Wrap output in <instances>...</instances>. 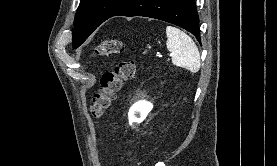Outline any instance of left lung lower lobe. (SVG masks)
I'll return each instance as SVG.
<instances>
[{"instance_id": "0a47b994", "label": "left lung lower lobe", "mask_w": 277, "mask_h": 166, "mask_svg": "<svg viewBox=\"0 0 277 166\" xmlns=\"http://www.w3.org/2000/svg\"><path fill=\"white\" fill-rule=\"evenodd\" d=\"M118 15L163 20L191 32L200 42L199 19L193 0H133L113 16Z\"/></svg>"}]
</instances>
